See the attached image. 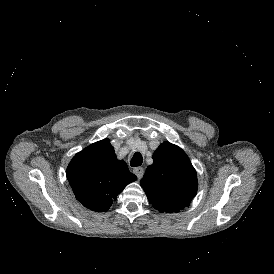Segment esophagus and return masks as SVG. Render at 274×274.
I'll return each mask as SVG.
<instances>
[{"label":"esophagus","mask_w":274,"mask_h":274,"mask_svg":"<svg viewBox=\"0 0 274 274\" xmlns=\"http://www.w3.org/2000/svg\"><path fill=\"white\" fill-rule=\"evenodd\" d=\"M133 172L137 175L138 179H141L144 174V169H143V167H135L133 169Z\"/></svg>","instance_id":"esophagus-1"}]
</instances>
